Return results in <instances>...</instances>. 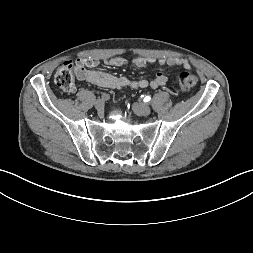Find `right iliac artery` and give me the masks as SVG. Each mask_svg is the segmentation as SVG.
I'll return each mask as SVG.
<instances>
[{
  "label": "right iliac artery",
  "mask_w": 253,
  "mask_h": 253,
  "mask_svg": "<svg viewBox=\"0 0 253 253\" xmlns=\"http://www.w3.org/2000/svg\"><path fill=\"white\" fill-rule=\"evenodd\" d=\"M109 98H110L109 94L103 93V94L101 95V99H102L103 101L109 100Z\"/></svg>",
  "instance_id": "1"
}]
</instances>
